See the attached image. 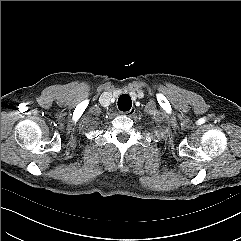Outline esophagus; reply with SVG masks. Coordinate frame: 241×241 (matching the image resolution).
<instances>
[{
	"mask_svg": "<svg viewBox=\"0 0 241 241\" xmlns=\"http://www.w3.org/2000/svg\"><path fill=\"white\" fill-rule=\"evenodd\" d=\"M135 111H136L135 108H131L129 111L121 112V114L131 117L135 114Z\"/></svg>",
	"mask_w": 241,
	"mask_h": 241,
	"instance_id": "34e87169",
	"label": "esophagus"
}]
</instances>
